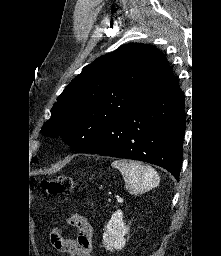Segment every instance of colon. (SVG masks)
<instances>
[{"mask_svg":"<svg viewBox=\"0 0 221 256\" xmlns=\"http://www.w3.org/2000/svg\"><path fill=\"white\" fill-rule=\"evenodd\" d=\"M42 189L51 195L70 194L77 189V182L68 176H59L41 181Z\"/></svg>","mask_w":221,"mask_h":256,"instance_id":"colon-1","label":"colon"}]
</instances>
